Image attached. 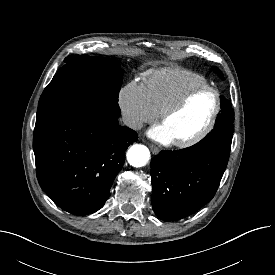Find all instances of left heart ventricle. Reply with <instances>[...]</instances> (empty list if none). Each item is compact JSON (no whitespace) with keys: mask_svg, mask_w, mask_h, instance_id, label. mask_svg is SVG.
Instances as JSON below:
<instances>
[{"mask_svg":"<svg viewBox=\"0 0 275 275\" xmlns=\"http://www.w3.org/2000/svg\"><path fill=\"white\" fill-rule=\"evenodd\" d=\"M214 107V93L199 92L191 97L179 111L168 117L162 125L173 140L191 137L206 125Z\"/></svg>","mask_w":275,"mask_h":275,"instance_id":"obj_1","label":"left heart ventricle"}]
</instances>
